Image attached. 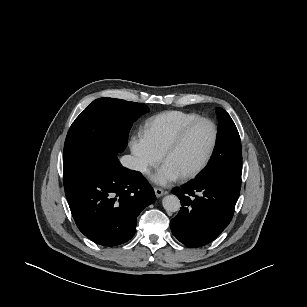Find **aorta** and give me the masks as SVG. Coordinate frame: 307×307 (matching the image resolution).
I'll list each match as a JSON object with an SVG mask.
<instances>
[{
    "instance_id": "762f6f07",
    "label": "aorta",
    "mask_w": 307,
    "mask_h": 307,
    "mask_svg": "<svg viewBox=\"0 0 307 307\" xmlns=\"http://www.w3.org/2000/svg\"><path fill=\"white\" fill-rule=\"evenodd\" d=\"M163 208L168 212H177L181 208V203L176 195H167L162 200Z\"/></svg>"
}]
</instances>
